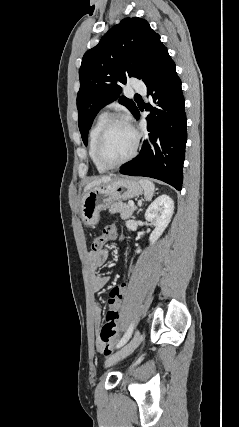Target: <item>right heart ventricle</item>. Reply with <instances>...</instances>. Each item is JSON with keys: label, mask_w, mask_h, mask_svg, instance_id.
<instances>
[{"label": "right heart ventricle", "mask_w": 239, "mask_h": 427, "mask_svg": "<svg viewBox=\"0 0 239 427\" xmlns=\"http://www.w3.org/2000/svg\"><path fill=\"white\" fill-rule=\"evenodd\" d=\"M109 117L108 114L106 112H102L100 113L95 122L93 123L92 127L89 130V134H88V152H89V156L90 159L92 160L95 168L97 169V171L99 172H104L106 171V169L104 167H102L96 160L95 158V144H96V140L97 137L101 131V129L103 128V126L105 125V123L108 121Z\"/></svg>", "instance_id": "1"}]
</instances>
